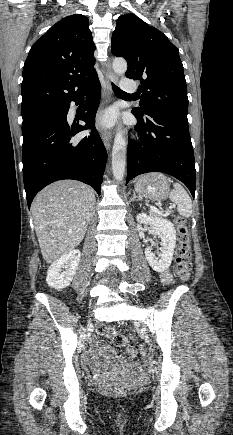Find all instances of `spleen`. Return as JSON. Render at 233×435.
Segmentation results:
<instances>
[{
	"label": "spleen",
	"instance_id": "3e777b00",
	"mask_svg": "<svg viewBox=\"0 0 233 435\" xmlns=\"http://www.w3.org/2000/svg\"><path fill=\"white\" fill-rule=\"evenodd\" d=\"M173 190L169 194V198L177 204V211L183 217L192 215V201L186 190L178 183L173 184Z\"/></svg>",
	"mask_w": 233,
	"mask_h": 435
}]
</instances>
